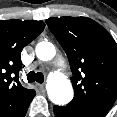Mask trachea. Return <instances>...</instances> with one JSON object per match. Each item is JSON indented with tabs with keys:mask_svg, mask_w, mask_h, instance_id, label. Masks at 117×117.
I'll list each match as a JSON object with an SVG mask.
<instances>
[{
	"mask_svg": "<svg viewBox=\"0 0 117 117\" xmlns=\"http://www.w3.org/2000/svg\"><path fill=\"white\" fill-rule=\"evenodd\" d=\"M27 80L29 83L31 82H38V83H43L44 82V75L41 72H34L30 71L27 75Z\"/></svg>",
	"mask_w": 117,
	"mask_h": 117,
	"instance_id": "1",
	"label": "trachea"
}]
</instances>
